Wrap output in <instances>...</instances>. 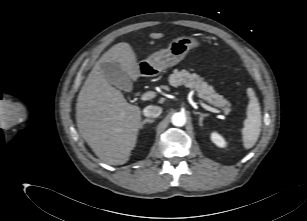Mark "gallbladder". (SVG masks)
<instances>
[{"mask_svg":"<svg viewBox=\"0 0 307 221\" xmlns=\"http://www.w3.org/2000/svg\"><path fill=\"white\" fill-rule=\"evenodd\" d=\"M101 71L105 79L115 87L124 91L132 89V82L128 75L122 70L117 63H102Z\"/></svg>","mask_w":307,"mask_h":221,"instance_id":"bac80fb5","label":"gallbladder"}]
</instances>
